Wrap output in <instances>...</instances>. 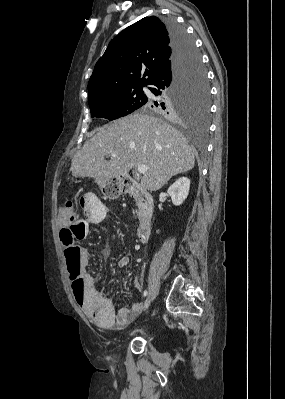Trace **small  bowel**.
<instances>
[{"mask_svg":"<svg viewBox=\"0 0 285 399\" xmlns=\"http://www.w3.org/2000/svg\"><path fill=\"white\" fill-rule=\"evenodd\" d=\"M106 219V211L103 203L95 195H86L81 211V217L78 218L79 234L82 238L89 233V227L94 224H101ZM89 253L82 250L79 257V272L84 282L82 293H76L71 288V293L75 301L82 307L90 320L103 328L122 329L127 326L133 317L141 312L140 303H132L118 311H115L112 302L105 298L97 289L94 277L87 272L89 264ZM129 263L128 257L119 260V267H126ZM67 268L70 272L71 266L66 259ZM134 285L141 289L139 279H134Z\"/></svg>","mask_w":285,"mask_h":399,"instance_id":"1","label":"small bowel"}]
</instances>
